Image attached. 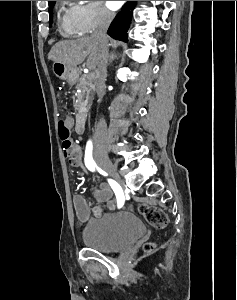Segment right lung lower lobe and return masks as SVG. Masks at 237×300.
I'll use <instances>...</instances> for the list:
<instances>
[{"mask_svg":"<svg viewBox=\"0 0 237 300\" xmlns=\"http://www.w3.org/2000/svg\"><path fill=\"white\" fill-rule=\"evenodd\" d=\"M136 6V1H127L118 13L108 29V35L114 39L127 41V30L132 18V10Z\"/></svg>","mask_w":237,"mask_h":300,"instance_id":"obj_1","label":"right lung lower lobe"}]
</instances>
